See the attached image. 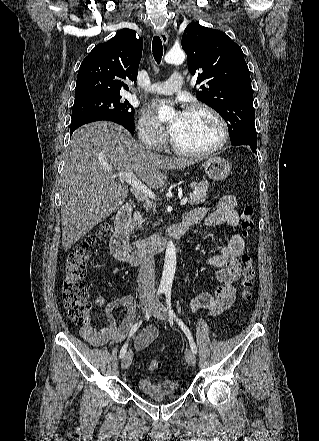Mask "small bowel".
I'll return each instance as SVG.
<instances>
[{"instance_id": "obj_1", "label": "small bowel", "mask_w": 319, "mask_h": 441, "mask_svg": "<svg viewBox=\"0 0 319 441\" xmlns=\"http://www.w3.org/2000/svg\"><path fill=\"white\" fill-rule=\"evenodd\" d=\"M237 201L233 195H225L220 198L213 208L198 207L187 213L183 222L188 228L203 224L207 227L228 225L236 228L240 224V218L235 210ZM245 241L240 234H233L223 245L221 253L209 257L206 263L217 269L216 278L220 286L213 291L202 292L191 300L193 310L206 309L207 313L216 317L229 309L236 298L235 283L241 276V264L239 257L242 254ZM96 306L105 304L102 296L93 299ZM118 307L125 309V316L120 323L114 315ZM136 317V300L132 295L126 294L114 299L105 305L106 324L100 328L87 325L80 329L82 337L94 346H103L107 343H120L130 338L132 323ZM158 335L154 326H148L134 340L136 350H142L150 345Z\"/></svg>"}]
</instances>
